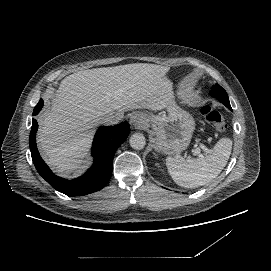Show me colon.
<instances>
[{
  "label": "colon",
  "mask_w": 271,
  "mask_h": 271,
  "mask_svg": "<svg viewBox=\"0 0 271 271\" xmlns=\"http://www.w3.org/2000/svg\"><path fill=\"white\" fill-rule=\"evenodd\" d=\"M200 113L207 123L212 124L218 132L226 129V123L223 116L212 106L204 105L200 109Z\"/></svg>",
  "instance_id": "1"
}]
</instances>
